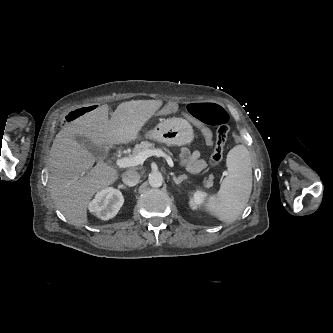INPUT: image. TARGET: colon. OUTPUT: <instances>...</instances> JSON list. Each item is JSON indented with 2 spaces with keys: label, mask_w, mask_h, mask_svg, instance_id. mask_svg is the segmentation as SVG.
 <instances>
[{
  "label": "colon",
  "mask_w": 333,
  "mask_h": 333,
  "mask_svg": "<svg viewBox=\"0 0 333 333\" xmlns=\"http://www.w3.org/2000/svg\"><path fill=\"white\" fill-rule=\"evenodd\" d=\"M95 110L94 104L85 105L80 109H76L75 111L68 114L66 117L67 121H72L76 119L78 116L86 115ZM188 111L192 114L196 119L202 122L205 125H216L218 126L216 143L214 146L213 153L210 157V164L212 166H216L222 159L225 143L228 138L230 127H229V115L227 112L218 104L215 103H196L191 104L188 107ZM231 139L234 146L242 145V137H241V127L233 126L231 130Z\"/></svg>",
  "instance_id": "colon-1"
}]
</instances>
